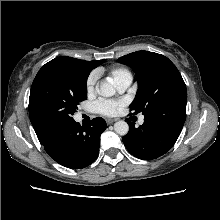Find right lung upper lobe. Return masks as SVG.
<instances>
[{
  "label": "right lung upper lobe",
  "instance_id": "cb5924a9",
  "mask_svg": "<svg viewBox=\"0 0 220 220\" xmlns=\"http://www.w3.org/2000/svg\"><path fill=\"white\" fill-rule=\"evenodd\" d=\"M104 61L105 60L85 61V60H80V59H76L72 57L61 56V57H57L53 59L47 64H59V65L73 66V67L84 69L90 72L92 69L96 68L97 66L102 64Z\"/></svg>",
  "mask_w": 220,
  "mask_h": 220
}]
</instances>
